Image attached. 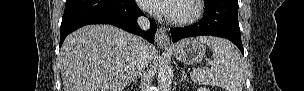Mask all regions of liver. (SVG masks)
<instances>
[{"instance_id":"1","label":"liver","mask_w":304,"mask_h":91,"mask_svg":"<svg viewBox=\"0 0 304 91\" xmlns=\"http://www.w3.org/2000/svg\"><path fill=\"white\" fill-rule=\"evenodd\" d=\"M154 55L148 45V60ZM138 59L136 36L111 25L84 26L67 36L60 51L64 91H123Z\"/></svg>"}]
</instances>
